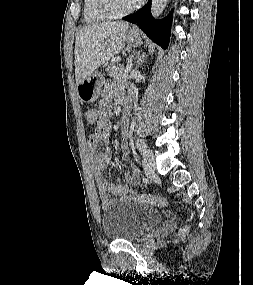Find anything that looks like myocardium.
<instances>
[{
    "instance_id": "obj_1",
    "label": "myocardium",
    "mask_w": 253,
    "mask_h": 285,
    "mask_svg": "<svg viewBox=\"0 0 253 285\" xmlns=\"http://www.w3.org/2000/svg\"><path fill=\"white\" fill-rule=\"evenodd\" d=\"M98 9L110 18H121L131 14L140 6L141 0H137L131 7L127 9H118L113 0H96Z\"/></svg>"
}]
</instances>
